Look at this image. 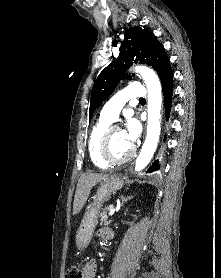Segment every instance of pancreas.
Listing matches in <instances>:
<instances>
[{
    "mask_svg": "<svg viewBox=\"0 0 221 278\" xmlns=\"http://www.w3.org/2000/svg\"><path fill=\"white\" fill-rule=\"evenodd\" d=\"M110 207H106L102 210V212L100 213V221H101V224H104V225H108L112 222L111 219L108 218V211H110Z\"/></svg>",
    "mask_w": 221,
    "mask_h": 278,
    "instance_id": "1",
    "label": "pancreas"
}]
</instances>
